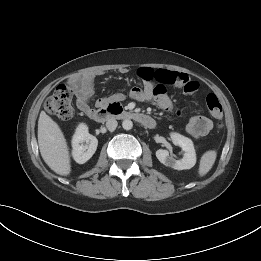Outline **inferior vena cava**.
<instances>
[{
	"mask_svg": "<svg viewBox=\"0 0 261 261\" xmlns=\"http://www.w3.org/2000/svg\"><path fill=\"white\" fill-rule=\"evenodd\" d=\"M117 125H118L117 121L113 118L108 119V121L106 122V127L111 132L116 129Z\"/></svg>",
	"mask_w": 261,
	"mask_h": 261,
	"instance_id": "602c4592",
	"label": "inferior vena cava"
}]
</instances>
